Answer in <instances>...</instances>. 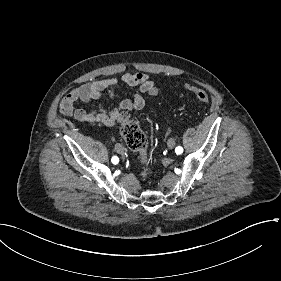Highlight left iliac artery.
<instances>
[{
	"label": "left iliac artery",
	"mask_w": 281,
	"mask_h": 281,
	"mask_svg": "<svg viewBox=\"0 0 281 281\" xmlns=\"http://www.w3.org/2000/svg\"><path fill=\"white\" fill-rule=\"evenodd\" d=\"M175 152L177 154H181L183 152V148L181 146H177L176 149H175Z\"/></svg>",
	"instance_id": "left-iliac-artery-1"
}]
</instances>
